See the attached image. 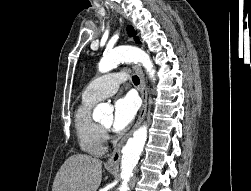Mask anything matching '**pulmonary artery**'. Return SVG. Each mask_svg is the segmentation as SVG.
<instances>
[{
    "mask_svg": "<svg viewBox=\"0 0 251 191\" xmlns=\"http://www.w3.org/2000/svg\"><path fill=\"white\" fill-rule=\"evenodd\" d=\"M124 72H113L102 75L89 83L83 91V97L90 100H100L115 94L119 85L127 80Z\"/></svg>",
    "mask_w": 251,
    "mask_h": 191,
    "instance_id": "1",
    "label": "pulmonary artery"
}]
</instances>
